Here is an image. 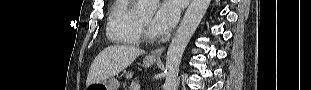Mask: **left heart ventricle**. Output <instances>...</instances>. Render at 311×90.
I'll return each mask as SVG.
<instances>
[{
	"label": "left heart ventricle",
	"mask_w": 311,
	"mask_h": 90,
	"mask_svg": "<svg viewBox=\"0 0 311 90\" xmlns=\"http://www.w3.org/2000/svg\"><path fill=\"white\" fill-rule=\"evenodd\" d=\"M146 24H150L151 20H152V15H148V16H144L141 18Z\"/></svg>",
	"instance_id": "1"
}]
</instances>
